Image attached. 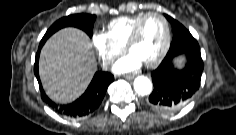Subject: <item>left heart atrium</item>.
<instances>
[{
    "label": "left heart atrium",
    "instance_id": "left-heart-atrium-1",
    "mask_svg": "<svg viewBox=\"0 0 236 135\" xmlns=\"http://www.w3.org/2000/svg\"><path fill=\"white\" fill-rule=\"evenodd\" d=\"M142 64V61L134 54L129 53L119 59L113 66L116 73L123 74L137 70Z\"/></svg>",
    "mask_w": 236,
    "mask_h": 135
}]
</instances>
